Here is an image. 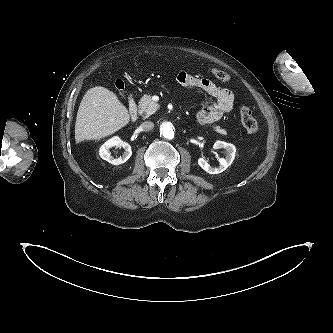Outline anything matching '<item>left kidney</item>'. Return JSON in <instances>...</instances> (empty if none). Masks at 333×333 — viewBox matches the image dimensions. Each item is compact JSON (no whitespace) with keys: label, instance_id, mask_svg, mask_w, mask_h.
<instances>
[{"label":"left kidney","instance_id":"5707ae66","mask_svg":"<svg viewBox=\"0 0 333 333\" xmlns=\"http://www.w3.org/2000/svg\"><path fill=\"white\" fill-rule=\"evenodd\" d=\"M213 148L224 149L226 152V157L219 159V166H210L204 157H200L198 159V164L203 170H205L209 174H219L226 170V168H228L232 164L235 158L236 148L233 144L226 143L224 141H216L213 145Z\"/></svg>","mask_w":333,"mask_h":333}]
</instances>
